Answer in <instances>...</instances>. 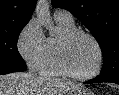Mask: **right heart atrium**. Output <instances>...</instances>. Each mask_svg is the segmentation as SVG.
I'll list each match as a JSON object with an SVG mask.
<instances>
[{
  "label": "right heart atrium",
  "mask_w": 119,
  "mask_h": 95,
  "mask_svg": "<svg viewBox=\"0 0 119 95\" xmlns=\"http://www.w3.org/2000/svg\"><path fill=\"white\" fill-rule=\"evenodd\" d=\"M47 38L38 20L31 19L21 30L17 39V49L27 67L40 70L45 59Z\"/></svg>",
  "instance_id": "right-heart-atrium-1"
}]
</instances>
